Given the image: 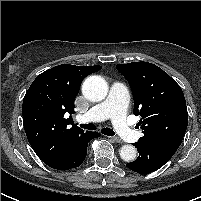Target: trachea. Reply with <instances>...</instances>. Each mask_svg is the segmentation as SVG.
Listing matches in <instances>:
<instances>
[{
  "label": "trachea",
  "instance_id": "trachea-1",
  "mask_svg": "<svg viewBox=\"0 0 201 201\" xmlns=\"http://www.w3.org/2000/svg\"><path fill=\"white\" fill-rule=\"evenodd\" d=\"M80 127L87 130H96V126L92 123L89 124H80ZM101 133L108 136H113L115 133L110 128H102Z\"/></svg>",
  "mask_w": 201,
  "mask_h": 201
}]
</instances>
